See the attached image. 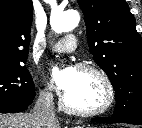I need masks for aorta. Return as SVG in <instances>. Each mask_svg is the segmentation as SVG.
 Instances as JSON below:
<instances>
[{"mask_svg": "<svg viewBox=\"0 0 142 128\" xmlns=\"http://www.w3.org/2000/svg\"><path fill=\"white\" fill-rule=\"evenodd\" d=\"M80 21L76 10L58 11L51 15L50 24L55 33L60 34L73 30Z\"/></svg>", "mask_w": 142, "mask_h": 128, "instance_id": "aorta-1", "label": "aorta"}]
</instances>
